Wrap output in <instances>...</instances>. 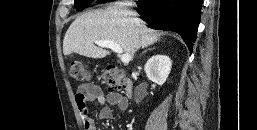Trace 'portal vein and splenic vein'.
<instances>
[{
    "mask_svg": "<svg viewBox=\"0 0 257 130\" xmlns=\"http://www.w3.org/2000/svg\"><path fill=\"white\" fill-rule=\"evenodd\" d=\"M95 43L100 47L109 48V49L113 50L114 52H116L117 54H119L120 59L124 64H127L130 62L131 56L126 53L123 54V50L119 44L112 42V41H108V40L95 41Z\"/></svg>",
    "mask_w": 257,
    "mask_h": 130,
    "instance_id": "1",
    "label": "portal vein and splenic vein"
}]
</instances>
